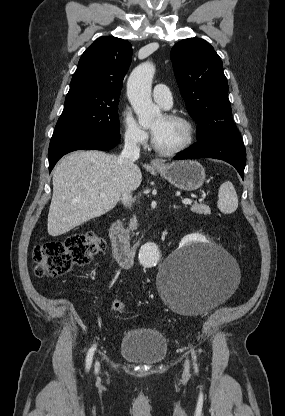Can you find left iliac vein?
Returning <instances> with one entry per match:
<instances>
[{
	"label": "left iliac vein",
	"mask_w": 285,
	"mask_h": 416,
	"mask_svg": "<svg viewBox=\"0 0 285 416\" xmlns=\"http://www.w3.org/2000/svg\"><path fill=\"white\" fill-rule=\"evenodd\" d=\"M184 368H185L184 373H185L186 375H188V374H189V361H188V359L185 361V366H184Z\"/></svg>",
	"instance_id": "left-iliac-vein-1"
}]
</instances>
